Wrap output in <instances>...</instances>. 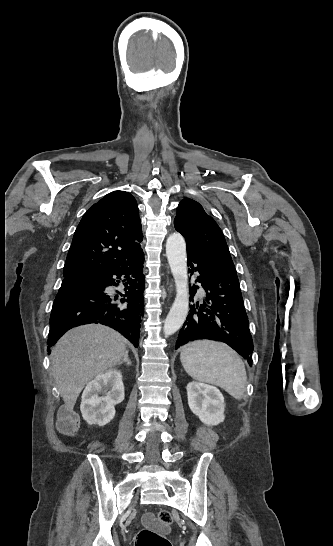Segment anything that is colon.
I'll return each mask as SVG.
<instances>
[{
  "label": "colon",
  "mask_w": 333,
  "mask_h": 546,
  "mask_svg": "<svg viewBox=\"0 0 333 546\" xmlns=\"http://www.w3.org/2000/svg\"><path fill=\"white\" fill-rule=\"evenodd\" d=\"M157 518L160 523L168 525L173 522V517L170 511L160 510ZM136 546H171L170 542L158 532L151 529H142L138 532L136 538Z\"/></svg>",
  "instance_id": "5ec220e1"
}]
</instances>
